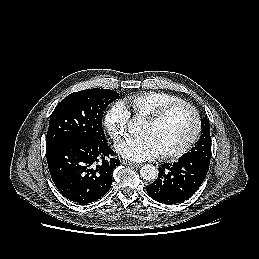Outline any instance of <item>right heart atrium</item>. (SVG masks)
I'll return each mask as SVG.
<instances>
[{"label":"right heart atrium","instance_id":"d8ad5b80","mask_svg":"<svg viewBox=\"0 0 259 259\" xmlns=\"http://www.w3.org/2000/svg\"><path fill=\"white\" fill-rule=\"evenodd\" d=\"M130 120V113L124 103L117 101L106 111L103 125L109 135L118 140L125 135Z\"/></svg>","mask_w":259,"mask_h":259}]
</instances>
